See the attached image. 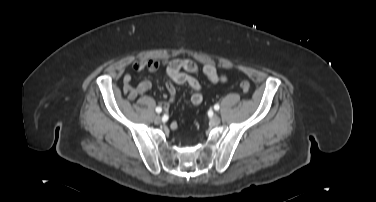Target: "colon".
<instances>
[{
    "instance_id": "colon-1",
    "label": "colon",
    "mask_w": 376,
    "mask_h": 202,
    "mask_svg": "<svg viewBox=\"0 0 376 202\" xmlns=\"http://www.w3.org/2000/svg\"><path fill=\"white\" fill-rule=\"evenodd\" d=\"M240 88L244 91V92H247L250 90L251 88V85L248 81L246 80H243L240 82Z\"/></svg>"
}]
</instances>
